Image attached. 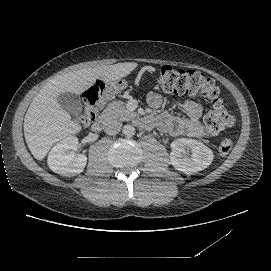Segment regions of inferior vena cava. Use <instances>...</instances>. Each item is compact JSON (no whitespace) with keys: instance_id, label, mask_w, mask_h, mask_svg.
<instances>
[{"instance_id":"602c4592","label":"inferior vena cava","mask_w":271,"mask_h":271,"mask_svg":"<svg viewBox=\"0 0 271 271\" xmlns=\"http://www.w3.org/2000/svg\"><path fill=\"white\" fill-rule=\"evenodd\" d=\"M122 122L117 119H110L105 127V132L108 135H115L120 132Z\"/></svg>"}]
</instances>
